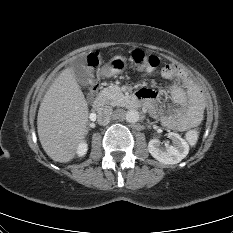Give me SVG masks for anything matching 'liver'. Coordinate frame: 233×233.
<instances>
[{
  "mask_svg": "<svg viewBox=\"0 0 233 233\" xmlns=\"http://www.w3.org/2000/svg\"><path fill=\"white\" fill-rule=\"evenodd\" d=\"M88 104L72 67L63 70L47 90L40 104L37 130L46 154L67 163L88 133Z\"/></svg>",
  "mask_w": 233,
  "mask_h": 233,
  "instance_id": "1",
  "label": "liver"
}]
</instances>
